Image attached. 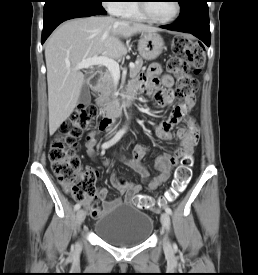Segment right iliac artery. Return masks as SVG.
I'll use <instances>...</instances> for the list:
<instances>
[{"label":"right iliac artery","instance_id":"1","mask_svg":"<svg viewBox=\"0 0 258 275\" xmlns=\"http://www.w3.org/2000/svg\"><path fill=\"white\" fill-rule=\"evenodd\" d=\"M124 132L123 131H119L116 133V135L111 139L109 140L108 142H105L103 145H102V148H109L111 147L112 145H114L116 142H118L121 137L123 136ZM81 207V204L80 203H77L75 206H74V209L75 210H79Z\"/></svg>","mask_w":258,"mask_h":275}]
</instances>
